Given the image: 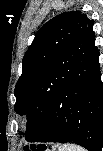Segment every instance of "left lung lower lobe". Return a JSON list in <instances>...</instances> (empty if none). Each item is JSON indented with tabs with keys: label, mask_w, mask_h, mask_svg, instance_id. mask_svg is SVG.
Listing matches in <instances>:
<instances>
[{
	"label": "left lung lower lobe",
	"mask_w": 103,
	"mask_h": 151,
	"mask_svg": "<svg viewBox=\"0 0 103 151\" xmlns=\"http://www.w3.org/2000/svg\"><path fill=\"white\" fill-rule=\"evenodd\" d=\"M95 34L88 30L54 61L56 79L43 70L33 79L27 110L29 142L103 146V86Z\"/></svg>",
	"instance_id": "0a47b994"
}]
</instances>
